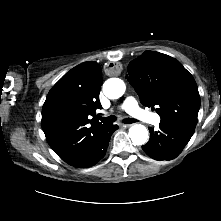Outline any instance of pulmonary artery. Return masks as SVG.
Wrapping results in <instances>:
<instances>
[{"mask_svg":"<svg viewBox=\"0 0 221 221\" xmlns=\"http://www.w3.org/2000/svg\"><path fill=\"white\" fill-rule=\"evenodd\" d=\"M122 109L140 121L155 125L160 123L159 115L141 109L133 97H127L124 100Z\"/></svg>","mask_w":221,"mask_h":221,"instance_id":"obj_1","label":"pulmonary artery"}]
</instances>
